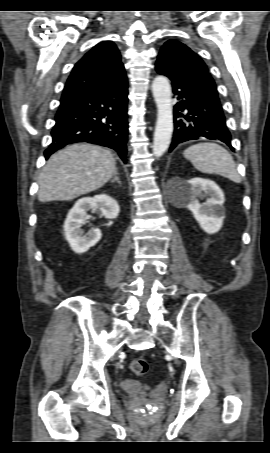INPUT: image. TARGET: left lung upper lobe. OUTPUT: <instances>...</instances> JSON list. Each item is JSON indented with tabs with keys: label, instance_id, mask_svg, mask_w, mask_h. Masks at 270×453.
Wrapping results in <instances>:
<instances>
[{
	"label": "left lung upper lobe",
	"instance_id": "1",
	"mask_svg": "<svg viewBox=\"0 0 270 453\" xmlns=\"http://www.w3.org/2000/svg\"><path fill=\"white\" fill-rule=\"evenodd\" d=\"M157 62L165 64L179 76L217 92V87L206 64L181 42L167 41L160 50Z\"/></svg>",
	"mask_w": 270,
	"mask_h": 453
}]
</instances>
